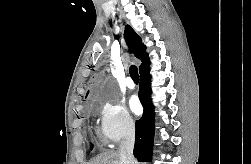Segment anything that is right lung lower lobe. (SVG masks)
I'll return each mask as SVG.
<instances>
[{
	"instance_id": "right-lung-lower-lobe-1",
	"label": "right lung lower lobe",
	"mask_w": 251,
	"mask_h": 164,
	"mask_svg": "<svg viewBox=\"0 0 251 164\" xmlns=\"http://www.w3.org/2000/svg\"><path fill=\"white\" fill-rule=\"evenodd\" d=\"M149 67L140 71L139 98L144 107L143 116L136 121V137L133 154L139 162H151L154 138V107L151 100V76Z\"/></svg>"
}]
</instances>
